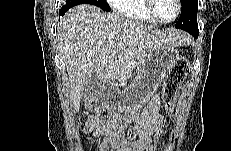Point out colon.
<instances>
[{"label":"colon","instance_id":"1","mask_svg":"<svg viewBox=\"0 0 231 151\" xmlns=\"http://www.w3.org/2000/svg\"><path fill=\"white\" fill-rule=\"evenodd\" d=\"M189 73V61L181 57L170 68L163 86L162 99L169 113L174 112L177 90Z\"/></svg>","mask_w":231,"mask_h":151}]
</instances>
